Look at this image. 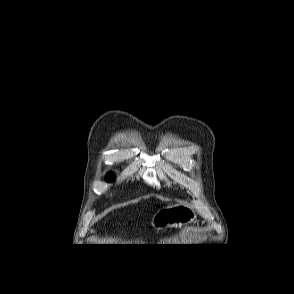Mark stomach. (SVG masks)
<instances>
[{
  "instance_id": "1",
  "label": "stomach",
  "mask_w": 294,
  "mask_h": 294,
  "mask_svg": "<svg viewBox=\"0 0 294 294\" xmlns=\"http://www.w3.org/2000/svg\"><path fill=\"white\" fill-rule=\"evenodd\" d=\"M194 212L180 204L163 207L152 218V226L155 229L178 227L195 221Z\"/></svg>"
}]
</instances>
